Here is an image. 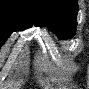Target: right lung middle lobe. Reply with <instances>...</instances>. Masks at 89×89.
Listing matches in <instances>:
<instances>
[{
	"instance_id": "obj_1",
	"label": "right lung middle lobe",
	"mask_w": 89,
	"mask_h": 89,
	"mask_svg": "<svg viewBox=\"0 0 89 89\" xmlns=\"http://www.w3.org/2000/svg\"><path fill=\"white\" fill-rule=\"evenodd\" d=\"M14 31H18V29L14 26L8 24H0V46L6 41L9 35Z\"/></svg>"
}]
</instances>
